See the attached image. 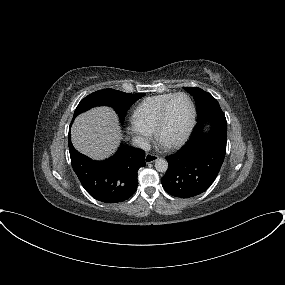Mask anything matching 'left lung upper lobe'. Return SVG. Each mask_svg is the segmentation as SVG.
<instances>
[{
  "label": "left lung upper lobe",
  "instance_id": "1",
  "mask_svg": "<svg viewBox=\"0 0 285 285\" xmlns=\"http://www.w3.org/2000/svg\"><path fill=\"white\" fill-rule=\"evenodd\" d=\"M195 99L197 109V119L203 116L208 110L220 108L217 100L208 92L198 87H183Z\"/></svg>",
  "mask_w": 285,
  "mask_h": 285
}]
</instances>
